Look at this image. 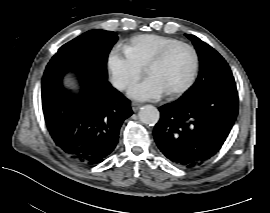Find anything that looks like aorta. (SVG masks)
Returning <instances> with one entry per match:
<instances>
[{"label":"aorta","mask_w":270,"mask_h":213,"mask_svg":"<svg viewBox=\"0 0 270 213\" xmlns=\"http://www.w3.org/2000/svg\"><path fill=\"white\" fill-rule=\"evenodd\" d=\"M140 121L145 125H155L160 117V113L153 105L143 106L138 113Z\"/></svg>","instance_id":"1"}]
</instances>
